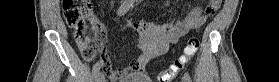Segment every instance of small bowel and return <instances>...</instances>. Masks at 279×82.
<instances>
[{
  "label": "small bowel",
  "instance_id": "obj_1",
  "mask_svg": "<svg viewBox=\"0 0 279 82\" xmlns=\"http://www.w3.org/2000/svg\"><path fill=\"white\" fill-rule=\"evenodd\" d=\"M219 7L208 5L204 10L200 7H193L182 21L174 22L169 20L162 25L129 21V26L140 35L139 48L141 53L134 61L122 68L111 67L108 50L103 47L106 30L100 22L93 28L95 32L94 38L78 45L81 50L87 46L91 48V57L87 61H91L95 52L101 49L99 62L102 69L107 72L110 80L115 81L128 73L142 70L150 60L165 54L172 43L179 41L189 31L202 27L207 18L212 16Z\"/></svg>",
  "mask_w": 279,
  "mask_h": 82
}]
</instances>
